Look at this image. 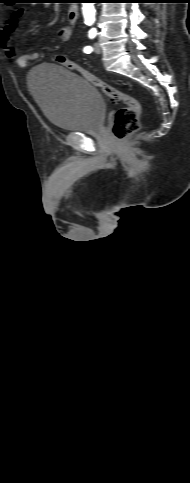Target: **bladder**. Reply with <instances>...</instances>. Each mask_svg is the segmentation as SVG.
<instances>
[{
    "label": "bladder",
    "mask_w": 190,
    "mask_h": 483,
    "mask_svg": "<svg viewBox=\"0 0 190 483\" xmlns=\"http://www.w3.org/2000/svg\"><path fill=\"white\" fill-rule=\"evenodd\" d=\"M28 87L46 119L60 130L91 132L102 127L104 99L79 74L59 65H38L29 73Z\"/></svg>",
    "instance_id": "bladder-1"
}]
</instances>
